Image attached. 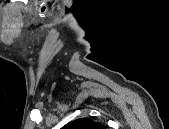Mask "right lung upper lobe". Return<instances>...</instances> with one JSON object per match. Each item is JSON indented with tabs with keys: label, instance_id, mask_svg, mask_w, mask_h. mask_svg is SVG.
I'll list each match as a JSON object with an SVG mask.
<instances>
[{
	"label": "right lung upper lobe",
	"instance_id": "1",
	"mask_svg": "<svg viewBox=\"0 0 169 129\" xmlns=\"http://www.w3.org/2000/svg\"><path fill=\"white\" fill-rule=\"evenodd\" d=\"M64 129H104L101 123L92 121L89 118H80L66 124Z\"/></svg>",
	"mask_w": 169,
	"mask_h": 129
}]
</instances>
